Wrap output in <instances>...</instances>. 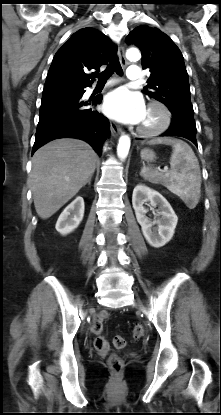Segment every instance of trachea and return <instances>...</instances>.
<instances>
[{"mask_svg": "<svg viewBox=\"0 0 221 415\" xmlns=\"http://www.w3.org/2000/svg\"><path fill=\"white\" fill-rule=\"evenodd\" d=\"M114 72H116L119 75H122L123 74L122 67L120 65V62H119L118 58H114L109 63V65L107 66V68L102 73H100L99 75H97L98 82L99 83L106 82L112 76V74Z\"/></svg>", "mask_w": 221, "mask_h": 415, "instance_id": "obj_1", "label": "trachea"}]
</instances>
